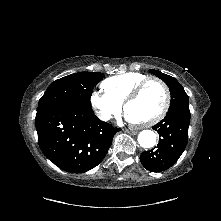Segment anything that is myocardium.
<instances>
[{
	"instance_id": "1",
	"label": "myocardium",
	"mask_w": 221,
	"mask_h": 221,
	"mask_svg": "<svg viewBox=\"0 0 221 221\" xmlns=\"http://www.w3.org/2000/svg\"><path fill=\"white\" fill-rule=\"evenodd\" d=\"M152 82L157 83L162 88L163 93H164V104H163L162 109L159 111V113L156 114L154 117L143 122H132L138 128L151 127L159 123L166 116L170 107L171 97H170V91L167 85L162 80L156 77H148L142 82H140L126 97V99L123 102L124 112L126 113L128 105L139 97V95L141 94L143 89L146 87V85Z\"/></svg>"
}]
</instances>
